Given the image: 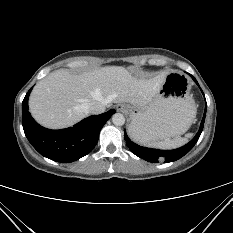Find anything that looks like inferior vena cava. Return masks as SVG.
Listing matches in <instances>:
<instances>
[{"label": "inferior vena cava", "mask_w": 233, "mask_h": 233, "mask_svg": "<svg viewBox=\"0 0 233 233\" xmlns=\"http://www.w3.org/2000/svg\"><path fill=\"white\" fill-rule=\"evenodd\" d=\"M106 104L103 102H92L89 105V112L91 114H101L105 112Z\"/></svg>", "instance_id": "inferior-vena-cava-1"}]
</instances>
